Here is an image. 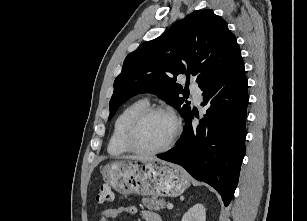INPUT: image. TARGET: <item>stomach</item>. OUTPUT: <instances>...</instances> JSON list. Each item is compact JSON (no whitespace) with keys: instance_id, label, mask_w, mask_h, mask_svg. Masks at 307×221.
Segmentation results:
<instances>
[{"instance_id":"stomach-1","label":"stomach","mask_w":307,"mask_h":221,"mask_svg":"<svg viewBox=\"0 0 307 221\" xmlns=\"http://www.w3.org/2000/svg\"><path fill=\"white\" fill-rule=\"evenodd\" d=\"M104 181L123 195L178 196L190 185L178 165L161 161H116L102 170Z\"/></svg>"}]
</instances>
